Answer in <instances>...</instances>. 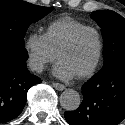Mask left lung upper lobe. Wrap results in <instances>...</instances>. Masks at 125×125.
I'll return each instance as SVG.
<instances>
[{
	"label": "left lung upper lobe",
	"mask_w": 125,
	"mask_h": 125,
	"mask_svg": "<svg viewBox=\"0 0 125 125\" xmlns=\"http://www.w3.org/2000/svg\"><path fill=\"white\" fill-rule=\"evenodd\" d=\"M91 17L101 27L104 65L125 58V19L111 10L95 11Z\"/></svg>",
	"instance_id": "left-lung-upper-lobe-1"
}]
</instances>
